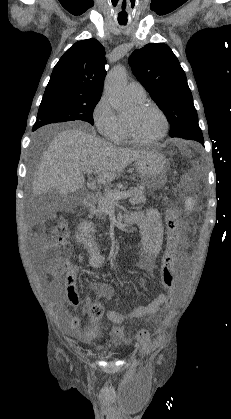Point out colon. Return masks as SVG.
Returning a JSON list of instances; mask_svg holds the SVG:
<instances>
[{
  "instance_id": "colon-1",
  "label": "colon",
  "mask_w": 231,
  "mask_h": 419,
  "mask_svg": "<svg viewBox=\"0 0 231 419\" xmlns=\"http://www.w3.org/2000/svg\"><path fill=\"white\" fill-rule=\"evenodd\" d=\"M178 212L175 209H169L166 214V227L168 232V245H165L164 252L161 256V273L159 280L166 295L163 298L165 304H172L174 301L173 295L178 292V280L174 273L175 264L178 258ZM68 224L66 222H59L52 230V241L45 249V259L54 267L56 274H63L66 276L67 283H73L72 266L69 263V254L71 252V244L67 240ZM104 313V307L100 303H95L91 309L90 314L95 318H100ZM138 341L144 347L149 346L151 341L146 330H140L136 334ZM113 337L116 341H123L126 335L120 327L113 329ZM162 338L157 337L154 345L160 344Z\"/></svg>"
}]
</instances>
